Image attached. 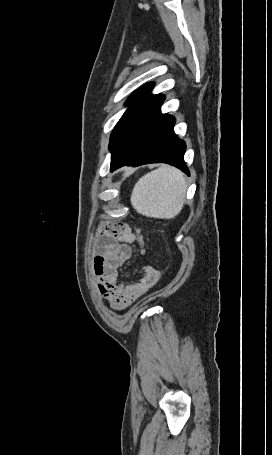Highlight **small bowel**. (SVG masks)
I'll use <instances>...</instances> for the list:
<instances>
[{"label":"small bowel","mask_w":272,"mask_h":455,"mask_svg":"<svg viewBox=\"0 0 272 455\" xmlns=\"http://www.w3.org/2000/svg\"><path fill=\"white\" fill-rule=\"evenodd\" d=\"M138 238L125 225L110 224L102 230V240L94 259V271L101 294L114 310H123L153 287L160 276L151 265L144 266L141 277L132 283L118 279L119 267L131 256V244Z\"/></svg>","instance_id":"1"}]
</instances>
